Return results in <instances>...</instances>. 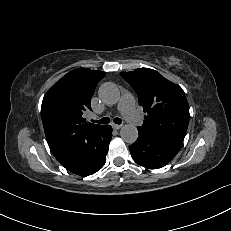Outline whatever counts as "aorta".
Listing matches in <instances>:
<instances>
[{"label":"aorta","mask_w":231,"mask_h":231,"mask_svg":"<svg viewBox=\"0 0 231 231\" xmlns=\"http://www.w3.org/2000/svg\"><path fill=\"white\" fill-rule=\"evenodd\" d=\"M98 95L104 103L109 105L117 103L120 97L117 86L111 82L103 83L98 90ZM120 136L124 142L132 144L138 138V130L134 125L126 124L122 126Z\"/></svg>","instance_id":"1"}]
</instances>
